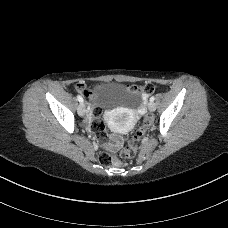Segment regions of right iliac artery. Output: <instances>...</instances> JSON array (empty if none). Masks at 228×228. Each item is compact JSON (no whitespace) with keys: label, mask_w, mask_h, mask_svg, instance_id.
Returning <instances> with one entry per match:
<instances>
[{"label":"right iliac artery","mask_w":228,"mask_h":228,"mask_svg":"<svg viewBox=\"0 0 228 228\" xmlns=\"http://www.w3.org/2000/svg\"><path fill=\"white\" fill-rule=\"evenodd\" d=\"M77 99L80 103H83V98L80 95H77Z\"/></svg>","instance_id":"obj_1"}]
</instances>
